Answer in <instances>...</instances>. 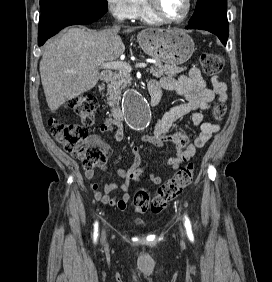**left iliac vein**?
Masks as SVG:
<instances>
[{
    "label": "left iliac vein",
    "mask_w": 272,
    "mask_h": 282,
    "mask_svg": "<svg viewBox=\"0 0 272 282\" xmlns=\"http://www.w3.org/2000/svg\"><path fill=\"white\" fill-rule=\"evenodd\" d=\"M180 232H181V236H182V238H184V236H185V232H184V229H183L182 227H180Z\"/></svg>",
    "instance_id": "left-iliac-vein-1"
}]
</instances>
